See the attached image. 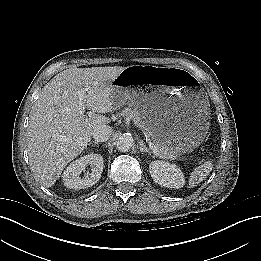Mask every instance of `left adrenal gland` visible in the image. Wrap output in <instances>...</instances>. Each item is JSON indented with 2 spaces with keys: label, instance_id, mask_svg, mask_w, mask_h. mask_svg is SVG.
I'll use <instances>...</instances> for the list:
<instances>
[{
  "label": "left adrenal gland",
  "instance_id": "1",
  "mask_svg": "<svg viewBox=\"0 0 261 261\" xmlns=\"http://www.w3.org/2000/svg\"><path fill=\"white\" fill-rule=\"evenodd\" d=\"M139 148L141 152H146L151 155V151L146 147L143 141L139 142Z\"/></svg>",
  "mask_w": 261,
  "mask_h": 261
}]
</instances>
